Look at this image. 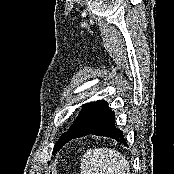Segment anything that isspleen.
<instances>
[{"mask_svg": "<svg viewBox=\"0 0 175 174\" xmlns=\"http://www.w3.org/2000/svg\"><path fill=\"white\" fill-rule=\"evenodd\" d=\"M80 169L81 174H130L126 158L109 148L88 149Z\"/></svg>", "mask_w": 175, "mask_h": 174, "instance_id": "spleen-1", "label": "spleen"}]
</instances>
